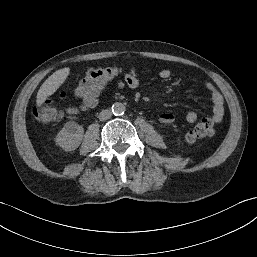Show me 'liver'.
Wrapping results in <instances>:
<instances>
[{
  "label": "liver",
  "mask_w": 257,
  "mask_h": 257,
  "mask_svg": "<svg viewBox=\"0 0 257 257\" xmlns=\"http://www.w3.org/2000/svg\"><path fill=\"white\" fill-rule=\"evenodd\" d=\"M70 73V68L59 69L48 77L37 92L36 104L41 106L45 100L54 94L64 83Z\"/></svg>",
  "instance_id": "liver-1"
}]
</instances>
